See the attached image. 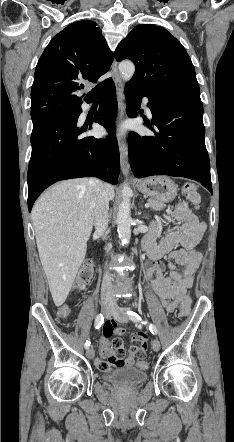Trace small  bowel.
Listing matches in <instances>:
<instances>
[{
  "mask_svg": "<svg viewBox=\"0 0 234 442\" xmlns=\"http://www.w3.org/2000/svg\"><path fill=\"white\" fill-rule=\"evenodd\" d=\"M199 206V196L188 197L187 201L177 204L173 211L172 218L179 223L177 228L157 245L156 237L160 229V222L155 220L150 224L149 233L144 240L147 242L146 252L148 255V260L145 263V281L146 283L151 281L153 291L160 297L169 313H172L180 304L182 305L186 291L191 287L193 276L201 262L198 245L206 225L195 214V210L199 209ZM179 245L181 248H178ZM163 258L169 261L167 267L170 272L168 275L165 274V265L161 262ZM171 261L183 266V270L177 271ZM103 325L102 352L123 348L121 336L126 331L125 327L117 326L114 319H105ZM112 336V341H110L109 338ZM129 341L130 343H139L137 344L138 348L130 346L127 350L124 366H133L136 355L140 360L145 359L148 347L147 335L144 333L132 335Z\"/></svg>",
  "mask_w": 234,
  "mask_h": 442,
  "instance_id": "c3829d8e",
  "label": "small bowel"
}]
</instances>
